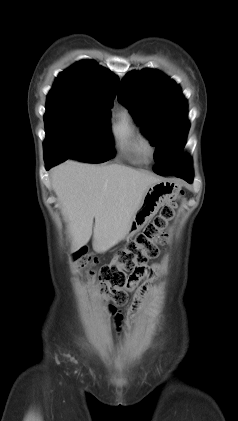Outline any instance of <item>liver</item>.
<instances>
[{
	"mask_svg": "<svg viewBox=\"0 0 238 421\" xmlns=\"http://www.w3.org/2000/svg\"><path fill=\"white\" fill-rule=\"evenodd\" d=\"M159 181L152 174L120 164L99 166L74 160L51 172L72 245L76 249L86 245L93 233V242L102 252L125 237L145 191Z\"/></svg>",
	"mask_w": 238,
	"mask_h": 421,
	"instance_id": "1",
	"label": "liver"
}]
</instances>
